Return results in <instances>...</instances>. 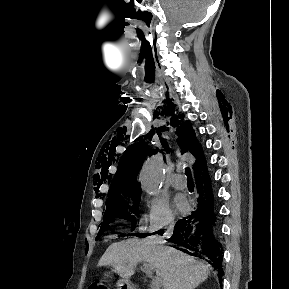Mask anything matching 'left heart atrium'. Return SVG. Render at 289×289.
<instances>
[{
    "mask_svg": "<svg viewBox=\"0 0 289 289\" xmlns=\"http://www.w3.org/2000/svg\"><path fill=\"white\" fill-rule=\"evenodd\" d=\"M174 206L178 212H184L187 208V203L182 195H177L174 198Z\"/></svg>",
    "mask_w": 289,
    "mask_h": 289,
    "instance_id": "39dd6f15",
    "label": "left heart atrium"
}]
</instances>
